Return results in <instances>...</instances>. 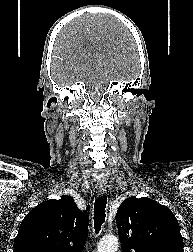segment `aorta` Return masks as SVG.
Returning a JSON list of instances; mask_svg holds the SVG:
<instances>
[{
  "mask_svg": "<svg viewBox=\"0 0 193 252\" xmlns=\"http://www.w3.org/2000/svg\"><path fill=\"white\" fill-rule=\"evenodd\" d=\"M117 249L118 239L116 237H104L98 244L97 252H116Z\"/></svg>",
  "mask_w": 193,
  "mask_h": 252,
  "instance_id": "aorta-1",
  "label": "aorta"
}]
</instances>
